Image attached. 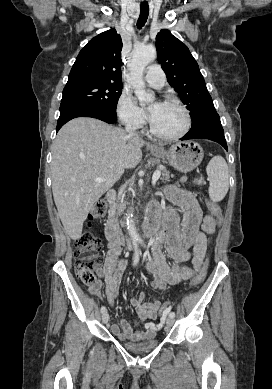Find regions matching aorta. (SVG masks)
Returning <instances> with one entry per match:
<instances>
[{"instance_id":"1","label":"aorta","mask_w":272,"mask_h":389,"mask_svg":"<svg viewBox=\"0 0 272 389\" xmlns=\"http://www.w3.org/2000/svg\"><path fill=\"white\" fill-rule=\"evenodd\" d=\"M156 55V49L151 45L135 47L132 52V59L129 64L130 82L141 105L150 103L155 99L152 93H148L145 90L143 72L145 67L156 58ZM126 226L132 241H141V238L136 230L133 214L131 212L126 214Z\"/></svg>"}]
</instances>
